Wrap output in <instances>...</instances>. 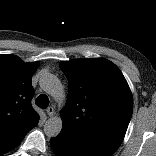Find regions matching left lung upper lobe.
I'll return each instance as SVG.
<instances>
[{"mask_svg": "<svg viewBox=\"0 0 156 156\" xmlns=\"http://www.w3.org/2000/svg\"><path fill=\"white\" fill-rule=\"evenodd\" d=\"M59 66L69 83L61 111L62 131L115 152L133 111L132 94L123 74L101 58L64 61Z\"/></svg>", "mask_w": 156, "mask_h": 156, "instance_id": "5c2ea615", "label": "left lung upper lobe"}]
</instances>
